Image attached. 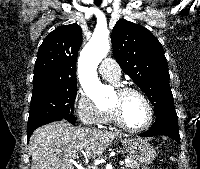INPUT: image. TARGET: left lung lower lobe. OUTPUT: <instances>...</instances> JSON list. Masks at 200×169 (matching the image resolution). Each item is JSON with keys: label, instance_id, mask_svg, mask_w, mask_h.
Returning <instances> with one entry per match:
<instances>
[{"label": "left lung lower lobe", "instance_id": "0a47b994", "mask_svg": "<svg viewBox=\"0 0 200 169\" xmlns=\"http://www.w3.org/2000/svg\"><path fill=\"white\" fill-rule=\"evenodd\" d=\"M166 135L180 143L177 114L161 113L157 116L152 127L139 136L153 137Z\"/></svg>", "mask_w": 200, "mask_h": 169}]
</instances>
